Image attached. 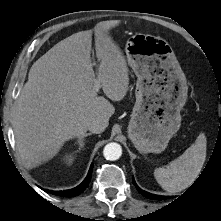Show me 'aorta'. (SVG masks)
Wrapping results in <instances>:
<instances>
[{
	"mask_svg": "<svg viewBox=\"0 0 221 221\" xmlns=\"http://www.w3.org/2000/svg\"><path fill=\"white\" fill-rule=\"evenodd\" d=\"M103 154L107 160L115 161L120 158L122 148L118 143L112 142L104 147Z\"/></svg>",
	"mask_w": 221,
	"mask_h": 221,
	"instance_id": "aorta-1",
	"label": "aorta"
}]
</instances>
